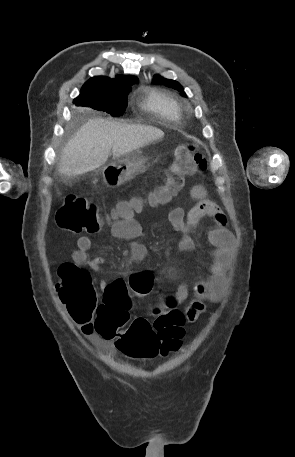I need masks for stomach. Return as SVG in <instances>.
Wrapping results in <instances>:
<instances>
[{"mask_svg": "<svg viewBox=\"0 0 295 457\" xmlns=\"http://www.w3.org/2000/svg\"><path fill=\"white\" fill-rule=\"evenodd\" d=\"M146 160L139 151H134L106 165L101 170L104 183L109 187L121 185L136 171L144 169Z\"/></svg>", "mask_w": 295, "mask_h": 457, "instance_id": "obj_1", "label": "stomach"}]
</instances>
